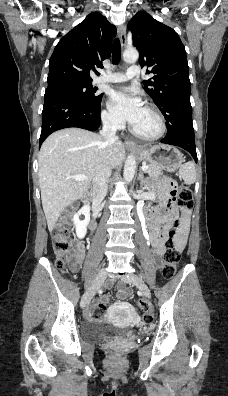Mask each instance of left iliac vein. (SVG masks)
<instances>
[{"label": "left iliac vein", "instance_id": "obj_1", "mask_svg": "<svg viewBox=\"0 0 228 396\" xmlns=\"http://www.w3.org/2000/svg\"><path fill=\"white\" fill-rule=\"evenodd\" d=\"M123 281L126 283H129V284L138 286L140 288V290L142 291L143 295L147 299L151 298V292H150L149 287L138 276L130 275V276L124 277Z\"/></svg>", "mask_w": 228, "mask_h": 396}]
</instances>
